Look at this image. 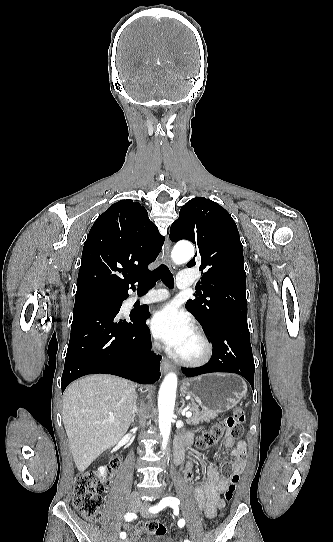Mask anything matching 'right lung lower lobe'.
Instances as JSON below:
<instances>
[{"instance_id": "right-lung-lower-lobe-1", "label": "right lung lower lobe", "mask_w": 333, "mask_h": 542, "mask_svg": "<svg viewBox=\"0 0 333 542\" xmlns=\"http://www.w3.org/2000/svg\"><path fill=\"white\" fill-rule=\"evenodd\" d=\"M111 256L102 248L90 249L82 254V262L101 266L110 262ZM127 291L76 293L62 392L70 382L88 374H113L141 384L160 378L161 356L151 352L146 325L148 306L131 313L130 318L117 316L129 296Z\"/></svg>"}]
</instances>
